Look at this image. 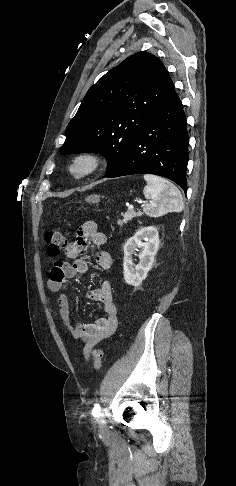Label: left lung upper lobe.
Wrapping results in <instances>:
<instances>
[{
  "label": "left lung upper lobe",
  "mask_w": 236,
  "mask_h": 486,
  "mask_svg": "<svg viewBox=\"0 0 236 486\" xmlns=\"http://www.w3.org/2000/svg\"><path fill=\"white\" fill-rule=\"evenodd\" d=\"M174 91L158 57L147 52L130 56L90 87L66 128L60 153H100L108 160V175Z\"/></svg>",
  "instance_id": "left-lung-upper-lobe-1"
}]
</instances>
